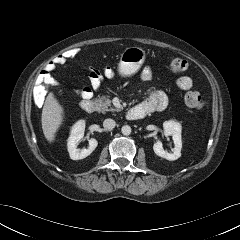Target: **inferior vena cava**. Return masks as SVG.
<instances>
[{
	"instance_id": "602c4592",
	"label": "inferior vena cava",
	"mask_w": 240,
	"mask_h": 240,
	"mask_svg": "<svg viewBox=\"0 0 240 240\" xmlns=\"http://www.w3.org/2000/svg\"><path fill=\"white\" fill-rule=\"evenodd\" d=\"M116 123L113 119H105L103 122V127L105 129L111 130L115 127Z\"/></svg>"
}]
</instances>
